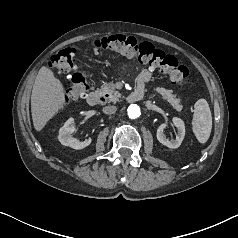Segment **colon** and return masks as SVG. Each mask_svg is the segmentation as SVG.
<instances>
[{"label": "colon", "mask_w": 238, "mask_h": 238, "mask_svg": "<svg viewBox=\"0 0 238 238\" xmlns=\"http://www.w3.org/2000/svg\"><path fill=\"white\" fill-rule=\"evenodd\" d=\"M93 48L135 57L140 63L167 75L179 88L190 82L188 68L179 64L174 56L166 54L149 42H139L132 36L115 34L100 37L93 41ZM48 66L59 73L68 74L66 102L77 101L87 96L89 86L84 73L78 71L74 48L68 47L54 53L49 59Z\"/></svg>", "instance_id": "obj_1"}]
</instances>
